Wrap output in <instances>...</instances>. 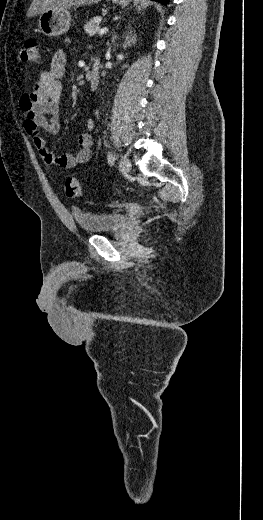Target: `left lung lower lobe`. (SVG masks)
Here are the masks:
<instances>
[{
  "label": "left lung lower lobe",
  "mask_w": 263,
  "mask_h": 520,
  "mask_svg": "<svg viewBox=\"0 0 263 520\" xmlns=\"http://www.w3.org/2000/svg\"><path fill=\"white\" fill-rule=\"evenodd\" d=\"M156 1H159V2H161L163 4H167L169 2V0H156Z\"/></svg>",
  "instance_id": "left-lung-lower-lobe-1"
}]
</instances>
